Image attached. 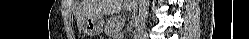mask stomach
Listing matches in <instances>:
<instances>
[{"mask_svg":"<svg viewBox=\"0 0 249 39\" xmlns=\"http://www.w3.org/2000/svg\"><path fill=\"white\" fill-rule=\"evenodd\" d=\"M103 23L100 16H90L83 22V31L89 36L99 35L103 30Z\"/></svg>","mask_w":249,"mask_h":39,"instance_id":"0dacf381","label":"stomach"}]
</instances>
